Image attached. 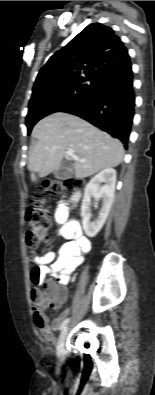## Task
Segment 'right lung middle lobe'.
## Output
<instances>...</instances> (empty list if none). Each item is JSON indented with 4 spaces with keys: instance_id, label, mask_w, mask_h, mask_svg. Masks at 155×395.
I'll list each match as a JSON object with an SVG mask.
<instances>
[{
    "instance_id": "dd1d6c3e",
    "label": "right lung middle lobe",
    "mask_w": 155,
    "mask_h": 395,
    "mask_svg": "<svg viewBox=\"0 0 155 395\" xmlns=\"http://www.w3.org/2000/svg\"><path fill=\"white\" fill-rule=\"evenodd\" d=\"M87 81H90L89 83ZM98 80L78 79L51 85L36 94L29 102L26 116L28 135L33 126L43 117L75 104L85 96L94 92L99 86Z\"/></svg>"
}]
</instances>
